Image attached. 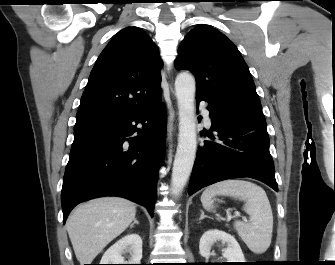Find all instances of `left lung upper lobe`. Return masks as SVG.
<instances>
[{"mask_svg":"<svg viewBox=\"0 0 335 265\" xmlns=\"http://www.w3.org/2000/svg\"><path fill=\"white\" fill-rule=\"evenodd\" d=\"M177 70L196 78V96L266 128V120L247 64L237 47L220 31L201 24L183 40Z\"/></svg>","mask_w":335,"mask_h":265,"instance_id":"left-lung-upper-lobe-1","label":"left lung upper lobe"}]
</instances>
